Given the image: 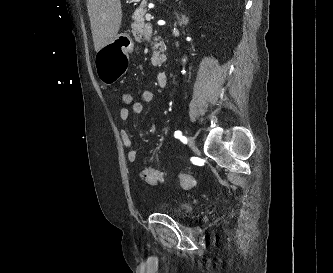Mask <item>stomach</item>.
I'll return each mask as SVG.
<instances>
[{
	"instance_id": "0dacf381",
	"label": "stomach",
	"mask_w": 333,
	"mask_h": 273,
	"mask_svg": "<svg viewBox=\"0 0 333 273\" xmlns=\"http://www.w3.org/2000/svg\"><path fill=\"white\" fill-rule=\"evenodd\" d=\"M134 42L129 33H120L102 47L95 57L96 72L104 84L114 83L128 70L127 54L133 52Z\"/></svg>"
}]
</instances>
